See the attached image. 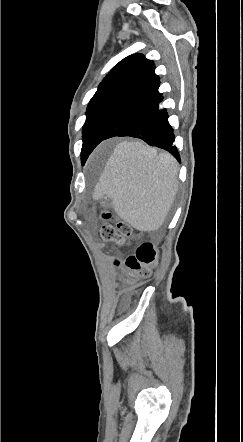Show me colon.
Returning <instances> with one entry per match:
<instances>
[{"label": "colon", "instance_id": "5ec220e1", "mask_svg": "<svg viewBox=\"0 0 243 442\" xmlns=\"http://www.w3.org/2000/svg\"><path fill=\"white\" fill-rule=\"evenodd\" d=\"M100 234L105 242L124 247L129 244L132 231L127 223L120 221L116 224H103ZM156 259L157 252L150 243L140 245L134 254L126 258L124 262L128 271L126 282L130 290L134 289L136 278L149 275L150 267L155 263Z\"/></svg>", "mask_w": 243, "mask_h": 442}]
</instances>
